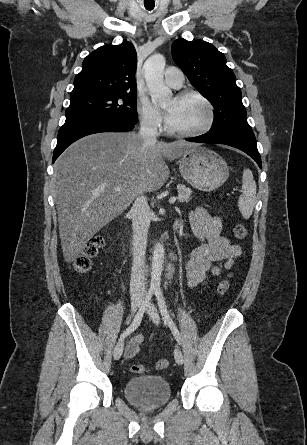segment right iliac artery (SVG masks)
Returning a JSON list of instances; mask_svg holds the SVG:
<instances>
[{"instance_id":"1","label":"right iliac artery","mask_w":307,"mask_h":445,"mask_svg":"<svg viewBox=\"0 0 307 445\" xmlns=\"http://www.w3.org/2000/svg\"><path fill=\"white\" fill-rule=\"evenodd\" d=\"M153 296V291L150 290L146 297L145 300L143 301L139 311L137 312L133 322L131 323V325L121 334L120 339L127 337L130 333H132L136 328H138V326L140 325L144 312L147 308V306L149 305L151 299Z\"/></svg>"}]
</instances>
